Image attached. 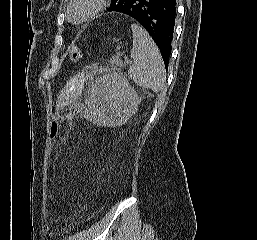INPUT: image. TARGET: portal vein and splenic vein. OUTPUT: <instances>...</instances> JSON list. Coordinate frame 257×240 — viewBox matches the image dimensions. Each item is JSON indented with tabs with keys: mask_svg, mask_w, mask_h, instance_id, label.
<instances>
[{
	"mask_svg": "<svg viewBox=\"0 0 257 240\" xmlns=\"http://www.w3.org/2000/svg\"><path fill=\"white\" fill-rule=\"evenodd\" d=\"M125 60H126L127 63L129 62V60L127 58Z\"/></svg>",
	"mask_w": 257,
	"mask_h": 240,
	"instance_id": "portal-vein-and-splenic-vein-1",
	"label": "portal vein and splenic vein"
}]
</instances>
